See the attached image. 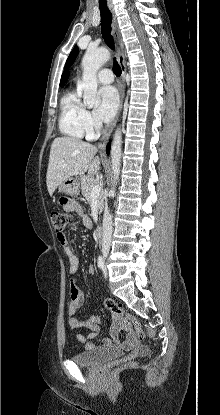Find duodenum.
Instances as JSON below:
<instances>
[{"label":"duodenum","instance_id":"1","mask_svg":"<svg viewBox=\"0 0 220 415\" xmlns=\"http://www.w3.org/2000/svg\"><path fill=\"white\" fill-rule=\"evenodd\" d=\"M94 234L96 236V238L100 239L103 237L104 234V228L103 225H99L95 228Z\"/></svg>","mask_w":220,"mask_h":415}]
</instances>
